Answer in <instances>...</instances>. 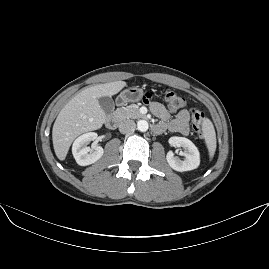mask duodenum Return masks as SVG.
Here are the masks:
<instances>
[{
  "mask_svg": "<svg viewBox=\"0 0 269 269\" xmlns=\"http://www.w3.org/2000/svg\"><path fill=\"white\" fill-rule=\"evenodd\" d=\"M117 123H118V119L115 115H109L106 119V122H105L106 127L108 129H115L117 126ZM155 128H156V126L154 125L153 129L155 130Z\"/></svg>",
  "mask_w": 269,
  "mask_h": 269,
  "instance_id": "duodenum-1",
  "label": "duodenum"
}]
</instances>
